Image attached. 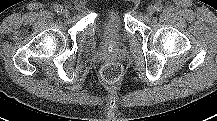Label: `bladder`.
Segmentation results:
<instances>
[{
    "label": "bladder",
    "mask_w": 217,
    "mask_h": 121,
    "mask_svg": "<svg viewBox=\"0 0 217 121\" xmlns=\"http://www.w3.org/2000/svg\"><path fill=\"white\" fill-rule=\"evenodd\" d=\"M100 32L105 44L118 47L124 38V26L119 14L108 10L101 19Z\"/></svg>",
    "instance_id": "obj_1"
}]
</instances>
